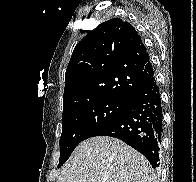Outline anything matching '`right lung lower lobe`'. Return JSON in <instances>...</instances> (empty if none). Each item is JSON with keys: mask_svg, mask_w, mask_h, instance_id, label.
Segmentation results:
<instances>
[{"mask_svg": "<svg viewBox=\"0 0 196 182\" xmlns=\"http://www.w3.org/2000/svg\"><path fill=\"white\" fill-rule=\"evenodd\" d=\"M162 133V105L153 74L132 96L126 109L91 137L103 135L118 138L142 153L156 168L159 166Z\"/></svg>", "mask_w": 196, "mask_h": 182, "instance_id": "1", "label": "right lung lower lobe"}]
</instances>
